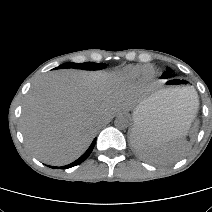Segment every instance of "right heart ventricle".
<instances>
[{
  "label": "right heart ventricle",
  "instance_id": "1",
  "mask_svg": "<svg viewBox=\"0 0 212 212\" xmlns=\"http://www.w3.org/2000/svg\"><path fill=\"white\" fill-rule=\"evenodd\" d=\"M129 75H150L153 73V69L151 67H131L126 70Z\"/></svg>",
  "mask_w": 212,
  "mask_h": 212
}]
</instances>
